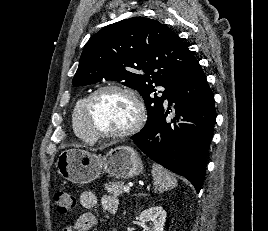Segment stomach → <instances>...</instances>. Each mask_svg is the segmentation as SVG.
<instances>
[{"instance_id": "obj_1", "label": "stomach", "mask_w": 268, "mask_h": 231, "mask_svg": "<svg viewBox=\"0 0 268 231\" xmlns=\"http://www.w3.org/2000/svg\"><path fill=\"white\" fill-rule=\"evenodd\" d=\"M55 165L64 179L77 184L94 181L102 173L129 179L141 174L144 168L137 152L129 146H117L103 156L79 148L64 150Z\"/></svg>"}]
</instances>
